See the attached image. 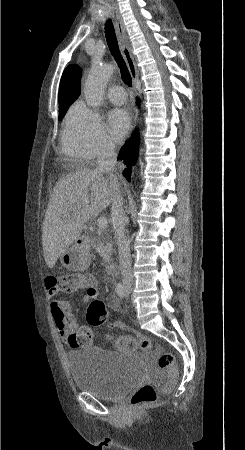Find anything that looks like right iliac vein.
Wrapping results in <instances>:
<instances>
[{"instance_id": "1", "label": "right iliac vein", "mask_w": 245, "mask_h": 450, "mask_svg": "<svg viewBox=\"0 0 245 450\" xmlns=\"http://www.w3.org/2000/svg\"><path fill=\"white\" fill-rule=\"evenodd\" d=\"M125 289H126L127 292H130L131 291V286H129V285L125 286Z\"/></svg>"}]
</instances>
